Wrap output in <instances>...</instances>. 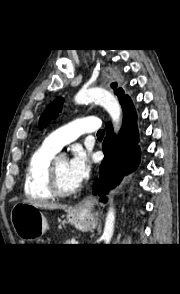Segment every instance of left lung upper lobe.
Listing matches in <instances>:
<instances>
[{
    "mask_svg": "<svg viewBox=\"0 0 180 294\" xmlns=\"http://www.w3.org/2000/svg\"><path fill=\"white\" fill-rule=\"evenodd\" d=\"M111 87L115 89L117 87V83H112ZM115 94L118 96L121 105L129 98L128 95L124 94L122 88L115 90ZM63 102V98H57L47 106L40 117V128L45 127L52 119L57 117L58 113L61 111Z\"/></svg>",
    "mask_w": 180,
    "mask_h": 294,
    "instance_id": "5c2ea615",
    "label": "left lung upper lobe"
}]
</instances>
